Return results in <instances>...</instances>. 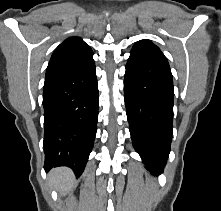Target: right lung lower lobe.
<instances>
[{
    "label": "right lung lower lobe",
    "mask_w": 221,
    "mask_h": 211,
    "mask_svg": "<svg viewBox=\"0 0 221 211\" xmlns=\"http://www.w3.org/2000/svg\"><path fill=\"white\" fill-rule=\"evenodd\" d=\"M43 107L44 169L67 166L79 177L96 135L99 97L95 64L45 81Z\"/></svg>",
    "instance_id": "obj_1"
}]
</instances>
